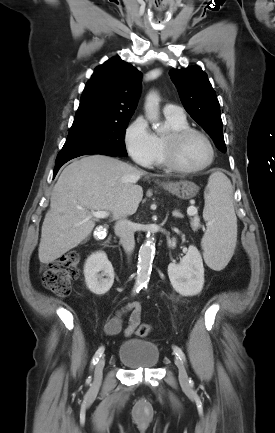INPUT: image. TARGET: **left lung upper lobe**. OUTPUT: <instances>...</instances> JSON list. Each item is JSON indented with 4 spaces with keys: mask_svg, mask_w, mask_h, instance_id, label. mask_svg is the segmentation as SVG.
Listing matches in <instances>:
<instances>
[{
    "mask_svg": "<svg viewBox=\"0 0 275 433\" xmlns=\"http://www.w3.org/2000/svg\"><path fill=\"white\" fill-rule=\"evenodd\" d=\"M169 74L186 111L225 153L219 102L207 74L199 66L171 69Z\"/></svg>",
    "mask_w": 275,
    "mask_h": 433,
    "instance_id": "obj_1",
    "label": "left lung upper lobe"
}]
</instances>
